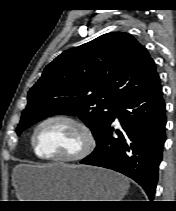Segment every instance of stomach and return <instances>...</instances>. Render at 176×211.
<instances>
[{
    "instance_id": "1",
    "label": "stomach",
    "mask_w": 176,
    "mask_h": 211,
    "mask_svg": "<svg viewBox=\"0 0 176 211\" xmlns=\"http://www.w3.org/2000/svg\"><path fill=\"white\" fill-rule=\"evenodd\" d=\"M13 184L21 201H120L129 187L117 172L66 164L20 165Z\"/></svg>"
}]
</instances>
